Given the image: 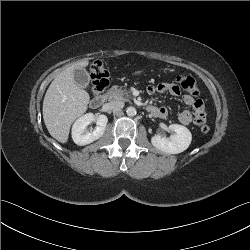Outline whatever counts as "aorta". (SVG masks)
I'll list each match as a JSON object with an SVG mask.
<instances>
[{
	"label": "aorta",
	"mask_w": 250,
	"mask_h": 250,
	"mask_svg": "<svg viewBox=\"0 0 250 250\" xmlns=\"http://www.w3.org/2000/svg\"><path fill=\"white\" fill-rule=\"evenodd\" d=\"M126 113L128 116L133 117L136 115L137 111L134 107L130 106L127 108Z\"/></svg>",
	"instance_id": "aorta-1"
}]
</instances>
